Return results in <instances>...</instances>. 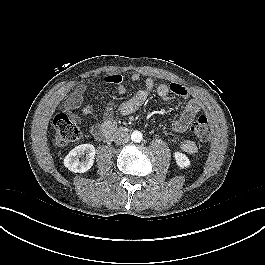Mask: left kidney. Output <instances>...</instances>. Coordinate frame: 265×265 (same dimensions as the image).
Returning <instances> with one entry per match:
<instances>
[{
	"label": "left kidney",
	"instance_id": "5707ae66",
	"mask_svg": "<svg viewBox=\"0 0 265 265\" xmlns=\"http://www.w3.org/2000/svg\"><path fill=\"white\" fill-rule=\"evenodd\" d=\"M174 157H175V160H176V164L180 168L184 169V168H187V167L190 166V161H189L188 157L185 154H183L181 152H175L174 153Z\"/></svg>",
	"mask_w": 265,
	"mask_h": 265
}]
</instances>
